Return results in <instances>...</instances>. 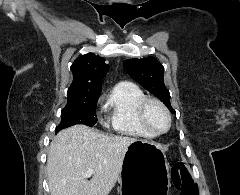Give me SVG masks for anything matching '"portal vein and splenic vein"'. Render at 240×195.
Wrapping results in <instances>:
<instances>
[{
  "instance_id": "18ae733b",
  "label": "portal vein and splenic vein",
  "mask_w": 240,
  "mask_h": 195,
  "mask_svg": "<svg viewBox=\"0 0 240 195\" xmlns=\"http://www.w3.org/2000/svg\"><path fill=\"white\" fill-rule=\"evenodd\" d=\"M92 173H94V169H88L86 173H84L85 177H91Z\"/></svg>"
}]
</instances>
